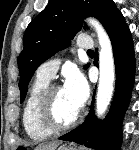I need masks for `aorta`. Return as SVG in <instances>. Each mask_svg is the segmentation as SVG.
Instances as JSON below:
<instances>
[{
    "label": "aorta",
    "mask_w": 139,
    "mask_h": 150,
    "mask_svg": "<svg viewBox=\"0 0 139 150\" xmlns=\"http://www.w3.org/2000/svg\"><path fill=\"white\" fill-rule=\"evenodd\" d=\"M88 23L98 35L99 52V84L96 97V114L102 117L106 112L114 91L115 67L110 38L99 21L89 18Z\"/></svg>",
    "instance_id": "aorta-1"
}]
</instances>
